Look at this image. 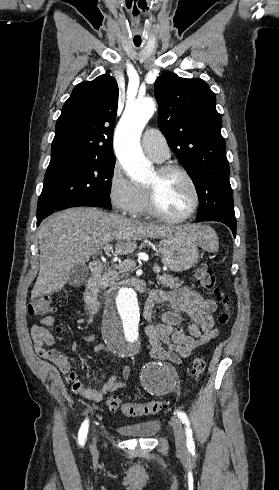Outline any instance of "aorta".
I'll use <instances>...</instances> for the list:
<instances>
[{
  "label": "aorta",
  "instance_id": "762f6f07",
  "mask_svg": "<svg viewBox=\"0 0 279 490\" xmlns=\"http://www.w3.org/2000/svg\"><path fill=\"white\" fill-rule=\"evenodd\" d=\"M156 110L152 98L136 100L126 105L114 133L116 156L135 182H144L151 172V163L140 146L144 127ZM140 304L133 288L122 287L112 293L106 303L103 334L118 353H126L139 342Z\"/></svg>",
  "mask_w": 279,
  "mask_h": 490
}]
</instances>
